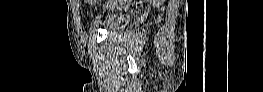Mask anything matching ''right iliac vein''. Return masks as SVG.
Returning a JSON list of instances; mask_svg holds the SVG:
<instances>
[{
	"label": "right iliac vein",
	"mask_w": 263,
	"mask_h": 92,
	"mask_svg": "<svg viewBox=\"0 0 263 92\" xmlns=\"http://www.w3.org/2000/svg\"><path fill=\"white\" fill-rule=\"evenodd\" d=\"M94 5L95 6H100V0H95Z\"/></svg>",
	"instance_id": "right-iliac-vein-1"
}]
</instances>
